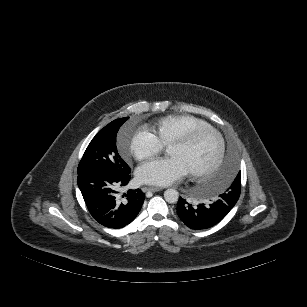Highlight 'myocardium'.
Segmentation results:
<instances>
[{
    "mask_svg": "<svg viewBox=\"0 0 307 307\" xmlns=\"http://www.w3.org/2000/svg\"><path fill=\"white\" fill-rule=\"evenodd\" d=\"M204 134H211L217 138L218 151L215 161L210 166L200 170L189 171L190 174L195 177H203L210 175L214 173L216 170H218V168L221 166L226 152V143L221 132L212 126L199 127L182 134L181 136L177 137L167 145L168 149L171 146H190Z\"/></svg>",
    "mask_w": 307,
    "mask_h": 307,
    "instance_id": "obj_1",
    "label": "myocardium"
}]
</instances>
